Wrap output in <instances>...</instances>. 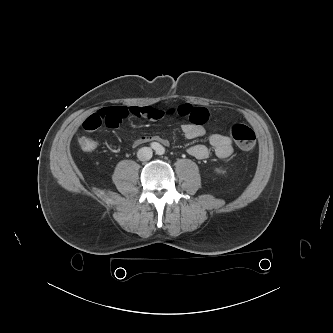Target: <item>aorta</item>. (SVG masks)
<instances>
[{"mask_svg": "<svg viewBox=\"0 0 333 333\" xmlns=\"http://www.w3.org/2000/svg\"><path fill=\"white\" fill-rule=\"evenodd\" d=\"M159 150H160V152H158V154H163L164 153V147L160 146Z\"/></svg>", "mask_w": 333, "mask_h": 333, "instance_id": "1", "label": "aorta"}]
</instances>
